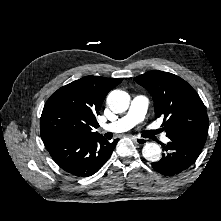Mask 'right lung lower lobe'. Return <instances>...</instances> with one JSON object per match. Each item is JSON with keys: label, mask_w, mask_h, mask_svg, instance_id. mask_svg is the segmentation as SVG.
Segmentation results:
<instances>
[{"label": "right lung lower lobe", "mask_w": 221, "mask_h": 221, "mask_svg": "<svg viewBox=\"0 0 221 221\" xmlns=\"http://www.w3.org/2000/svg\"><path fill=\"white\" fill-rule=\"evenodd\" d=\"M117 140L108 142L94 136H56L43 140L53 160L66 172L88 177L96 173L111 156Z\"/></svg>", "instance_id": "1"}]
</instances>
